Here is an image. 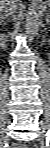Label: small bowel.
<instances>
[{
	"label": "small bowel",
	"instance_id": "small-bowel-1",
	"mask_svg": "<svg viewBox=\"0 0 50 148\" xmlns=\"http://www.w3.org/2000/svg\"><path fill=\"white\" fill-rule=\"evenodd\" d=\"M16 147H21L20 145H17Z\"/></svg>",
	"mask_w": 50,
	"mask_h": 148
}]
</instances>
